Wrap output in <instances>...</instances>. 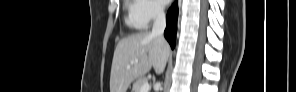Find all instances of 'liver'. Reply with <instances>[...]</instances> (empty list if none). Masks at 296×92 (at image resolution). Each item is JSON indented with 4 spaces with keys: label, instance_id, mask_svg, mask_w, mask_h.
<instances>
[{
    "label": "liver",
    "instance_id": "1",
    "mask_svg": "<svg viewBox=\"0 0 296 92\" xmlns=\"http://www.w3.org/2000/svg\"><path fill=\"white\" fill-rule=\"evenodd\" d=\"M169 54L167 41L148 31L122 38L113 55L110 92H127L130 84L148 73L152 67L156 74H161ZM135 59H138V63L131 65L130 62Z\"/></svg>",
    "mask_w": 296,
    "mask_h": 92
}]
</instances>
